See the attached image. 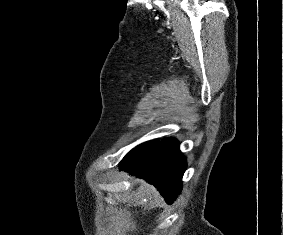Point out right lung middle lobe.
Returning <instances> with one entry per match:
<instances>
[{
	"instance_id": "obj_1",
	"label": "right lung middle lobe",
	"mask_w": 283,
	"mask_h": 235,
	"mask_svg": "<svg viewBox=\"0 0 283 235\" xmlns=\"http://www.w3.org/2000/svg\"><path fill=\"white\" fill-rule=\"evenodd\" d=\"M157 144V141H149L145 142L133 150H131L121 162H128V161H134L140 157H142L144 154H146L152 147H154Z\"/></svg>"
}]
</instances>
